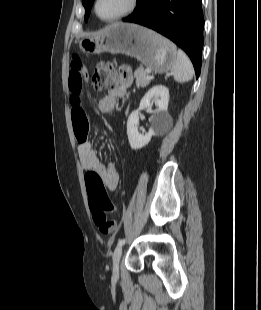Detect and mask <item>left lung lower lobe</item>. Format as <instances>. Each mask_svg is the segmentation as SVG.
<instances>
[{
	"instance_id": "0a47b994",
	"label": "left lung lower lobe",
	"mask_w": 261,
	"mask_h": 310,
	"mask_svg": "<svg viewBox=\"0 0 261 310\" xmlns=\"http://www.w3.org/2000/svg\"><path fill=\"white\" fill-rule=\"evenodd\" d=\"M123 21L149 27L176 43L190 57L198 78L203 48L202 0H137L136 9Z\"/></svg>"
}]
</instances>
